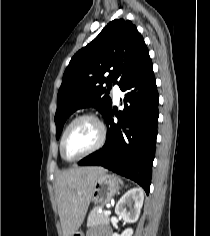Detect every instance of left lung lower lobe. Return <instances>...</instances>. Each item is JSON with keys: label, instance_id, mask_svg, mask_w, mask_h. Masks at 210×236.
Instances as JSON below:
<instances>
[{"label": "left lung lower lobe", "instance_id": "left-lung-lower-lobe-1", "mask_svg": "<svg viewBox=\"0 0 210 236\" xmlns=\"http://www.w3.org/2000/svg\"><path fill=\"white\" fill-rule=\"evenodd\" d=\"M120 89L125 93L124 109L119 114L111 110L105 118L108 126L105 145L78 164L101 165L134 180L149 194L159 115L151 60Z\"/></svg>", "mask_w": 210, "mask_h": 236}]
</instances>
